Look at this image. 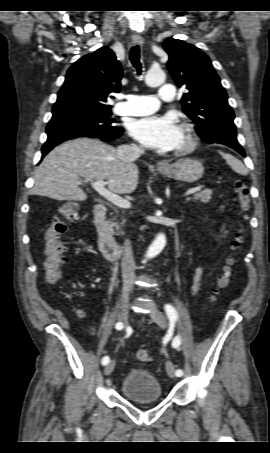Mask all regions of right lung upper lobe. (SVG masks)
I'll use <instances>...</instances> for the list:
<instances>
[{
	"mask_svg": "<svg viewBox=\"0 0 270 453\" xmlns=\"http://www.w3.org/2000/svg\"><path fill=\"white\" fill-rule=\"evenodd\" d=\"M121 78V64L108 47L83 56L68 69L52 108V118L110 110L107 97L120 91Z\"/></svg>",
	"mask_w": 270,
	"mask_h": 453,
	"instance_id": "1",
	"label": "right lung upper lobe"
}]
</instances>
